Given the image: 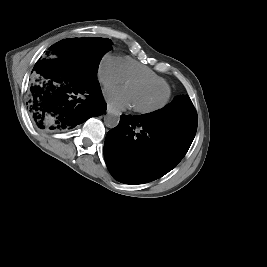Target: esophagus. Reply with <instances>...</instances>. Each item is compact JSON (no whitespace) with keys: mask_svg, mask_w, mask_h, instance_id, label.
<instances>
[{"mask_svg":"<svg viewBox=\"0 0 267 267\" xmlns=\"http://www.w3.org/2000/svg\"><path fill=\"white\" fill-rule=\"evenodd\" d=\"M107 112H108V113H112V112H113V107L110 106V105H108V106H107Z\"/></svg>","mask_w":267,"mask_h":267,"instance_id":"obj_1","label":"esophagus"}]
</instances>
